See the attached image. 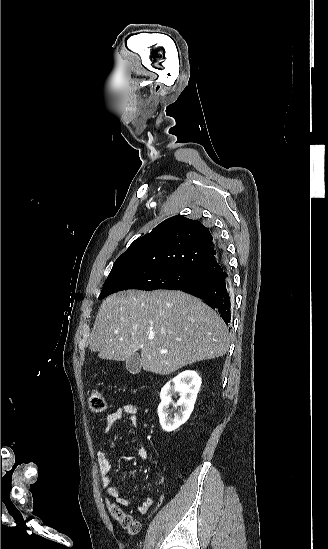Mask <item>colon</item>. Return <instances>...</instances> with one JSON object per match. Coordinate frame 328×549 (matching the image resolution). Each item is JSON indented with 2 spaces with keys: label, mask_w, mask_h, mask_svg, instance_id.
<instances>
[{
  "label": "colon",
  "mask_w": 328,
  "mask_h": 549,
  "mask_svg": "<svg viewBox=\"0 0 328 549\" xmlns=\"http://www.w3.org/2000/svg\"><path fill=\"white\" fill-rule=\"evenodd\" d=\"M88 405L93 412H103L107 408V402L103 394L98 390L91 391L88 398ZM107 509L110 516L116 520L120 526L130 534L139 532L140 524L132 515L125 513L118 504L107 502Z\"/></svg>",
  "instance_id": "colon-1"
}]
</instances>
